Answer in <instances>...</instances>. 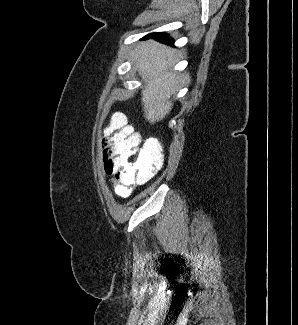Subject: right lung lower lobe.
<instances>
[{"mask_svg": "<svg viewBox=\"0 0 298 325\" xmlns=\"http://www.w3.org/2000/svg\"><path fill=\"white\" fill-rule=\"evenodd\" d=\"M148 37H156L166 44H171L174 42L173 39L168 38L166 36V34H164V33H153V34L149 35Z\"/></svg>", "mask_w": 298, "mask_h": 325, "instance_id": "1", "label": "right lung lower lobe"}]
</instances>
